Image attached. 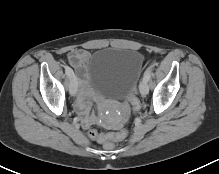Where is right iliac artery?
Here are the masks:
<instances>
[{"label": "right iliac artery", "mask_w": 219, "mask_h": 174, "mask_svg": "<svg viewBox=\"0 0 219 174\" xmlns=\"http://www.w3.org/2000/svg\"><path fill=\"white\" fill-rule=\"evenodd\" d=\"M65 72L68 77H71L73 74V70L69 66H65Z\"/></svg>", "instance_id": "right-iliac-artery-1"}]
</instances>
